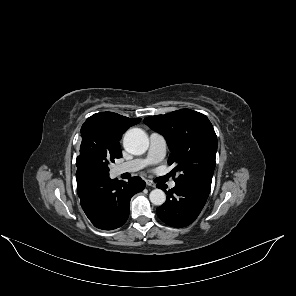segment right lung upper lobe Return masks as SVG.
Here are the masks:
<instances>
[{"mask_svg":"<svg viewBox=\"0 0 296 296\" xmlns=\"http://www.w3.org/2000/svg\"><path fill=\"white\" fill-rule=\"evenodd\" d=\"M140 121L141 118L131 119L112 112L96 113L82 125V141L103 144L121 153L122 134Z\"/></svg>","mask_w":296,"mask_h":296,"instance_id":"obj_1","label":"right lung upper lobe"}]
</instances>
